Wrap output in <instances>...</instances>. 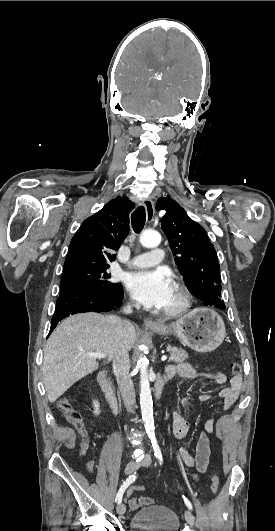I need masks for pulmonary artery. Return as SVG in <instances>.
I'll use <instances>...</instances> for the list:
<instances>
[{"label": "pulmonary artery", "mask_w": 275, "mask_h": 531, "mask_svg": "<svg viewBox=\"0 0 275 531\" xmlns=\"http://www.w3.org/2000/svg\"><path fill=\"white\" fill-rule=\"evenodd\" d=\"M152 252L151 259L149 255ZM151 252H144L140 256H134L129 264L132 268L142 267V266H152L160 265L162 263V258H164L165 253L162 251L161 247L155 245L152 247Z\"/></svg>", "instance_id": "pulmonary-artery-1"}]
</instances>
